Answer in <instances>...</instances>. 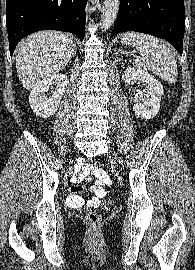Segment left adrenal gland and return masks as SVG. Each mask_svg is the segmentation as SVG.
<instances>
[{"label":"left adrenal gland","mask_w":195,"mask_h":270,"mask_svg":"<svg viewBox=\"0 0 195 270\" xmlns=\"http://www.w3.org/2000/svg\"><path fill=\"white\" fill-rule=\"evenodd\" d=\"M118 54H119V52L115 50L114 55L117 56Z\"/></svg>","instance_id":"a2214340"}]
</instances>
